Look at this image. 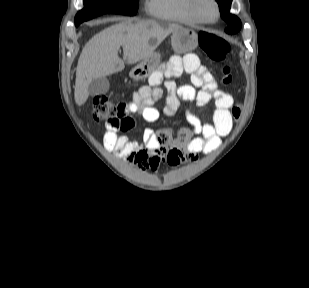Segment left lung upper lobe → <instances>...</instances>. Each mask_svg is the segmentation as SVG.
Wrapping results in <instances>:
<instances>
[{
  "label": "left lung upper lobe",
  "mask_w": 309,
  "mask_h": 288,
  "mask_svg": "<svg viewBox=\"0 0 309 288\" xmlns=\"http://www.w3.org/2000/svg\"><path fill=\"white\" fill-rule=\"evenodd\" d=\"M219 5V10L222 18L227 22L228 27L225 29L226 33L234 34L237 33L241 29V21L240 19L230 14V6L232 0H216Z\"/></svg>",
  "instance_id": "5c2ea615"
}]
</instances>
